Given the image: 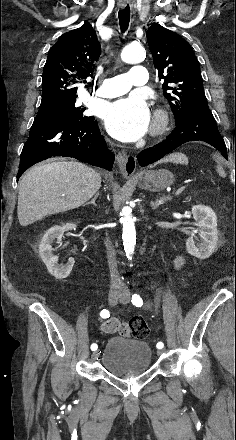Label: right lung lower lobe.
I'll list each match as a JSON object with an SVG mask.
<instances>
[{
  "label": "right lung lower lobe",
  "mask_w": 236,
  "mask_h": 440,
  "mask_svg": "<svg viewBox=\"0 0 236 440\" xmlns=\"http://www.w3.org/2000/svg\"><path fill=\"white\" fill-rule=\"evenodd\" d=\"M52 156L73 157L107 170L114 161L94 117L75 120L37 114L21 153L17 180L29 167Z\"/></svg>",
  "instance_id": "1"
}]
</instances>
